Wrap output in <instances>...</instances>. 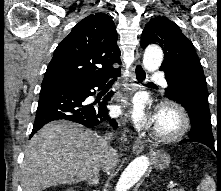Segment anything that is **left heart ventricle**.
<instances>
[{"mask_svg": "<svg viewBox=\"0 0 221 191\" xmlns=\"http://www.w3.org/2000/svg\"><path fill=\"white\" fill-rule=\"evenodd\" d=\"M174 126V119L164 113V114H161L158 118V122H157V127L161 130H170L172 127Z\"/></svg>", "mask_w": 221, "mask_h": 191, "instance_id": "b2bd125f", "label": "left heart ventricle"}]
</instances>
